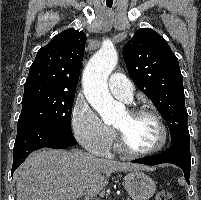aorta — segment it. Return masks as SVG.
I'll list each match as a JSON object with an SVG mask.
<instances>
[{
  "instance_id": "762f6f07",
  "label": "aorta",
  "mask_w": 201,
  "mask_h": 200,
  "mask_svg": "<svg viewBox=\"0 0 201 200\" xmlns=\"http://www.w3.org/2000/svg\"><path fill=\"white\" fill-rule=\"evenodd\" d=\"M117 61L114 45L104 42L89 60L82 77L86 99L108 125L113 124L119 117L120 106L109 93L107 85L108 77Z\"/></svg>"
}]
</instances>
